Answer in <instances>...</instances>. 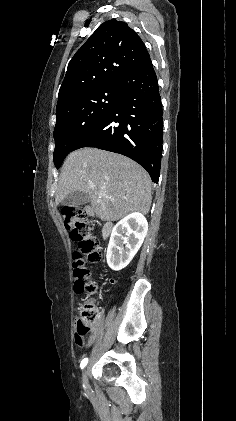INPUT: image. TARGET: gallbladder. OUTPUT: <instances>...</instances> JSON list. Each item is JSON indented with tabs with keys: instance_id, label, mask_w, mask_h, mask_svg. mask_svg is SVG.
Wrapping results in <instances>:
<instances>
[{
	"instance_id": "bac80fb5",
	"label": "gallbladder",
	"mask_w": 236,
	"mask_h": 421,
	"mask_svg": "<svg viewBox=\"0 0 236 421\" xmlns=\"http://www.w3.org/2000/svg\"><path fill=\"white\" fill-rule=\"evenodd\" d=\"M90 198L87 192H83V190H75V192H70L68 196H65L63 200H61V204H68V206H78V204H85V202H89Z\"/></svg>"
}]
</instances>
